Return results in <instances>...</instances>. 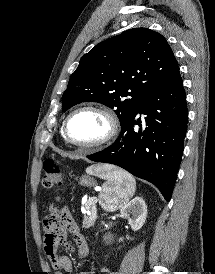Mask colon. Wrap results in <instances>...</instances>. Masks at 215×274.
Here are the masks:
<instances>
[{
    "instance_id": "obj_1",
    "label": "colon",
    "mask_w": 215,
    "mask_h": 274,
    "mask_svg": "<svg viewBox=\"0 0 215 274\" xmlns=\"http://www.w3.org/2000/svg\"><path fill=\"white\" fill-rule=\"evenodd\" d=\"M42 186L44 189L59 188L62 185V174L58 162L54 159H46L43 163Z\"/></svg>"
}]
</instances>
